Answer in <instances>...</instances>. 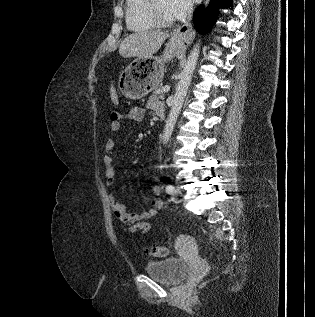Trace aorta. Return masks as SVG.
Returning <instances> with one entry per match:
<instances>
[{
  "mask_svg": "<svg viewBox=\"0 0 315 317\" xmlns=\"http://www.w3.org/2000/svg\"><path fill=\"white\" fill-rule=\"evenodd\" d=\"M209 2L210 0H205L204 2L205 7L208 6ZM199 53H200V40H198V42H196V44L193 46L188 56L187 62L184 66V69L181 72L180 80L175 90V95H174L173 103L171 106V110H170L164 131H163V136H162L163 144H167L171 138V135H172L174 126L176 124V121L178 119V116L180 114L184 99L187 95L188 87L190 85V82H191V79H192L198 58H199Z\"/></svg>",
  "mask_w": 315,
  "mask_h": 317,
  "instance_id": "aorta-1",
  "label": "aorta"
}]
</instances>
